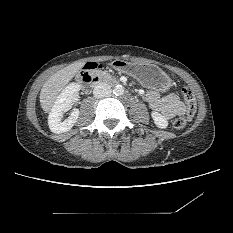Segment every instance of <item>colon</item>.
<instances>
[{
	"mask_svg": "<svg viewBox=\"0 0 233 233\" xmlns=\"http://www.w3.org/2000/svg\"><path fill=\"white\" fill-rule=\"evenodd\" d=\"M102 67V64L89 63L83 67V70L92 72ZM181 94L186 104V112L174 120L173 125L176 129H182L186 126L187 122L193 117L196 108V97L189 87H183Z\"/></svg>",
	"mask_w": 233,
	"mask_h": 233,
	"instance_id": "1",
	"label": "colon"
}]
</instances>
